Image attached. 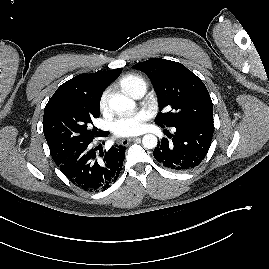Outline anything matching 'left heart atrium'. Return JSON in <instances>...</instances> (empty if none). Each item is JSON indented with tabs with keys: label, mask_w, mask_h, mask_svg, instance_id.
I'll use <instances>...</instances> for the list:
<instances>
[{
	"label": "left heart atrium",
	"mask_w": 269,
	"mask_h": 269,
	"mask_svg": "<svg viewBox=\"0 0 269 269\" xmlns=\"http://www.w3.org/2000/svg\"><path fill=\"white\" fill-rule=\"evenodd\" d=\"M148 114L141 111L134 116L124 117L117 120L113 125V132L118 137H129L140 133Z\"/></svg>",
	"instance_id": "left-heart-atrium-1"
}]
</instances>
